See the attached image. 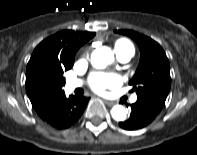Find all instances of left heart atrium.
Returning a JSON list of instances; mask_svg holds the SVG:
<instances>
[{
	"label": "left heart atrium",
	"instance_id": "39dd6f15",
	"mask_svg": "<svg viewBox=\"0 0 197 155\" xmlns=\"http://www.w3.org/2000/svg\"><path fill=\"white\" fill-rule=\"evenodd\" d=\"M120 85V79L115 74L98 73L91 76V87L97 93H104L107 89Z\"/></svg>",
	"mask_w": 197,
	"mask_h": 155
}]
</instances>
